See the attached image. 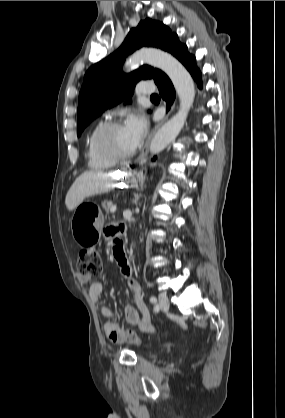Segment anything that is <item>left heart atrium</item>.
<instances>
[{
	"instance_id": "left-heart-atrium-1",
	"label": "left heart atrium",
	"mask_w": 285,
	"mask_h": 418,
	"mask_svg": "<svg viewBox=\"0 0 285 418\" xmlns=\"http://www.w3.org/2000/svg\"><path fill=\"white\" fill-rule=\"evenodd\" d=\"M129 133L134 146L138 145L147 131L148 123L146 118L139 112L129 114L124 125Z\"/></svg>"
}]
</instances>
